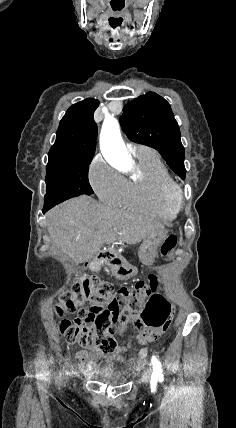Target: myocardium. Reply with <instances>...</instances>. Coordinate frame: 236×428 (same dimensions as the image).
Listing matches in <instances>:
<instances>
[{"label":"myocardium","mask_w":236,"mask_h":428,"mask_svg":"<svg viewBox=\"0 0 236 428\" xmlns=\"http://www.w3.org/2000/svg\"><path fill=\"white\" fill-rule=\"evenodd\" d=\"M160 196L166 206L175 210H179L184 205L183 188L174 180L166 181L161 185Z\"/></svg>","instance_id":"1"}]
</instances>
